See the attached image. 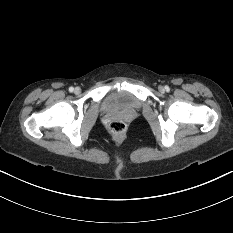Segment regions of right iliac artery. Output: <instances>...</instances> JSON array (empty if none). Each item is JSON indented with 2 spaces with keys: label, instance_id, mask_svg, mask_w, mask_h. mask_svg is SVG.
<instances>
[{
  "label": "right iliac artery",
  "instance_id": "right-iliac-artery-1",
  "mask_svg": "<svg viewBox=\"0 0 233 233\" xmlns=\"http://www.w3.org/2000/svg\"><path fill=\"white\" fill-rule=\"evenodd\" d=\"M69 91H70V92H73V91H74V88H73V87H70V88H69Z\"/></svg>",
  "mask_w": 233,
  "mask_h": 233
}]
</instances>
